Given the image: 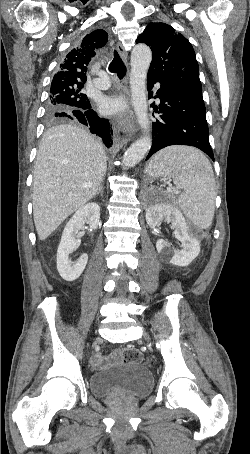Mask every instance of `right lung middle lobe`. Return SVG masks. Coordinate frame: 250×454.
<instances>
[{"label":"right lung middle lobe","mask_w":250,"mask_h":454,"mask_svg":"<svg viewBox=\"0 0 250 454\" xmlns=\"http://www.w3.org/2000/svg\"><path fill=\"white\" fill-rule=\"evenodd\" d=\"M84 84L78 85H51L50 96L47 102L46 119L54 122L63 119L60 112H71L89 104L87 96L81 93Z\"/></svg>","instance_id":"obj_1"}]
</instances>
